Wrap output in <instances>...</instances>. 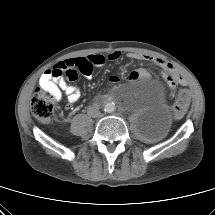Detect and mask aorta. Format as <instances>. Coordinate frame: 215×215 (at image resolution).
Masks as SVG:
<instances>
[{
	"instance_id": "1",
	"label": "aorta",
	"mask_w": 215,
	"mask_h": 215,
	"mask_svg": "<svg viewBox=\"0 0 215 215\" xmlns=\"http://www.w3.org/2000/svg\"><path fill=\"white\" fill-rule=\"evenodd\" d=\"M104 111L106 113H112V112H114L115 111V105H114V103H111V102L106 103L105 106H104Z\"/></svg>"
}]
</instances>
